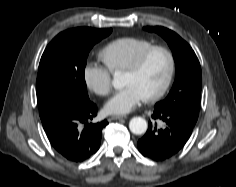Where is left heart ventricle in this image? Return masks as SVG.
I'll return each mask as SVG.
<instances>
[{"instance_id":"obj_1","label":"left heart ventricle","mask_w":236,"mask_h":187,"mask_svg":"<svg viewBox=\"0 0 236 187\" xmlns=\"http://www.w3.org/2000/svg\"><path fill=\"white\" fill-rule=\"evenodd\" d=\"M168 72V59L162 52H154L136 74L125 72L124 86L136 87L144 97L156 92L164 83Z\"/></svg>"}]
</instances>
